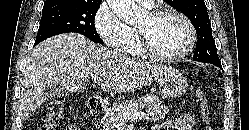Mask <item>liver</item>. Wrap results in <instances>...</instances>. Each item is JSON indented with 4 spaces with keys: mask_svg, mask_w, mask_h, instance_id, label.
Listing matches in <instances>:
<instances>
[{
    "mask_svg": "<svg viewBox=\"0 0 249 130\" xmlns=\"http://www.w3.org/2000/svg\"><path fill=\"white\" fill-rule=\"evenodd\" d=\"M172 70L94 44L79 34H61L41 42L28 56L21 80V118L27 120L46 102L45 90L49 86L80 92L89 80L98 79L104 92L126 93Z\"/></svg>",
    "mask_w": 249,
    "mask_h": 130,
    "instance_id": "obj_1",
    "label": "liver"
}]
</instances>
